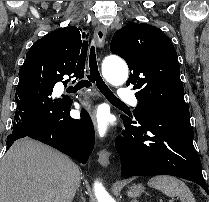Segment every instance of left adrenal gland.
<instances>
[{"instance_id": "obj_1", "label": "left adrenal gland", "mask_w": 209, "mask_h": 202, "mask_svg": "<svg viewBox=\"0 0 209 202\" xmlns=\"http://www.w3.org/2000/svg\"><path fill=\"white\" fill-rule=\"evenodd\" d=\"M132 202H138L137 200H132Z\"/></svg>"}]
</instances>
